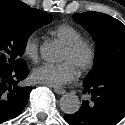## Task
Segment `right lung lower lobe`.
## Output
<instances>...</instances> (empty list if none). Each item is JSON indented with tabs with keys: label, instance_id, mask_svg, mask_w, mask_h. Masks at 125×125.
Masks as SVG:
<instances>
[{
	"label": "right lung lower lobe",
	"instance_id": "1",
	"mask_svg": "<svg viewBox=\"0 0 125 125\" xmlns=\"http://www.w3.org/2000/svg\"><path fill=\"white\" fill-rule=\"evenodd\" d=\"M27 76L26 64L14 69L0 64V122L15 118L25 108L31 88L20 83Z\"/></svg>",
	"mask_w": 125,
	"mask_h": 125
}]
</instances>
